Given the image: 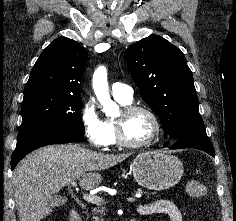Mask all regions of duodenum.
<instances>
[{
	"label": "duodenum",
	"mask_w": 236,
	"mask_h": 221,
	"mask_svg": "<svg viewBox=\"0 0 236 221\" xmlns=\"http://www.w3.org/2000/svg\"><path fill=\"white\" fill-rule=\"evenodd\" d=\"M70 221H81L80 212L77 208H73L70 212ZM129 221H137V219L132 218Z\"/></svg>",
	"instance_id": "obj_1"
}]
</instances>
